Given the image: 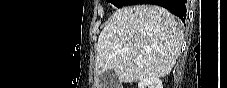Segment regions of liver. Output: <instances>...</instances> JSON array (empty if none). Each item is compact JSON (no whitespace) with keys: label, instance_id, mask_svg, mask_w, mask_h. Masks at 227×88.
I'll return each mask as SVG.
<instances>
[{"label":"liver","instance_id":"6515ba94","mask_svg":"<svg viewBox=\"0 0 227 88\" xmlns=\"http://www.w3.org/2000/svg\"><path fill=\"white\" fill-rule=\"evenodd\" d=\"M182 43L181 24L165 8L123 7L113 13L99 35L96 74L114 70L125 83L164 77L174 67Z\"/></svg>","mask_w":227,"mask_h":88}]
</instances>
